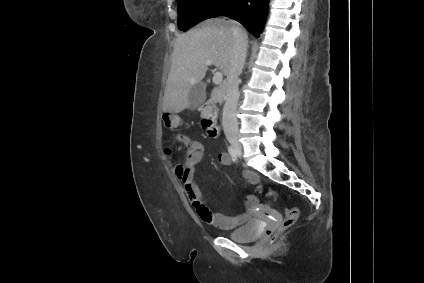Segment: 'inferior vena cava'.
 Instances as JSON below:
<instances>
[{
    "instance_id": "obj_1",
    "label": "inferior vena cava",
    "mask_w": 424,
    "mask_h": 283,
    "mask_svg": "<svg viewBox=\"0 0 424 283\" xmlns=\"http://www.w3.org/2000/svg\"><path fill=\"white\" fill-rule=\"evenodd\" d=\"M230 22L234 44L229 73L227 75V92L222 117L223 130L226 136L238 133L236 110L239 99V76L243 71L247 54L246 32L238 22L233 20Z\"/></svg>"
}]
</instances>
